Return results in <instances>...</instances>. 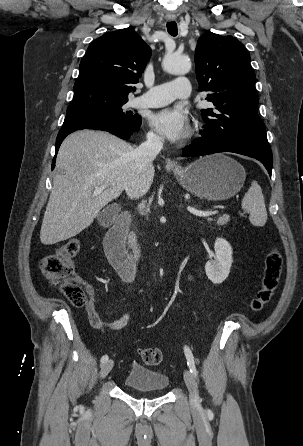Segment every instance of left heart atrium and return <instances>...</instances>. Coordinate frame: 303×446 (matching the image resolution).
<instances>
[{"label": "left heart atrium", "mask_w": 303, "mask_h": 446, "mask_svg": "<svg viewBox=\"0 0 303 446\" xmlns=\"http://www.w3.org/2000/svg\"><path fill=\"white\" fill-rule=\"evenodd\" d=\"M150 123L162 136L172 141L185 138L190 131L189 115L180 106L167 107L152 113Z\"/></svg>", "instance_id": "obj_1"}]
</instances>
